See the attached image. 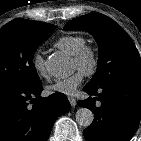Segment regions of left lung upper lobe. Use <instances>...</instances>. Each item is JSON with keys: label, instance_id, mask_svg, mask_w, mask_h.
Masks as SVG:
<instances>
[{"label": "left lung upper lobe", "instance_id": "obj_1", "mask_svg": "<svg viewBox=\"0 0 141 141\" xmlns=\"http://www.w3.org/2000/svg\"><path fill=\"white\" fill-rule=\"evenodd\" d=\"M65 30L87 31L99 46L97 71L89 88H100L115 82L141 83V58L129 35L111 18L90 13L68 22Z\"/></svg>", "mask_w": 141, "mask_h": 141}]
</instances>
